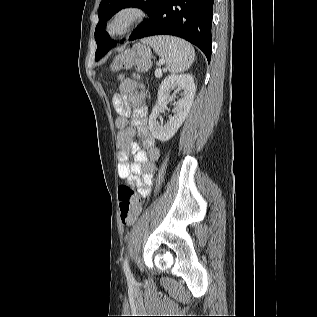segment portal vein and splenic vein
Listing matches in <instances>:
<instances>
[{"label":"portal vein and splenic vein","mask_w":317,"mask_h":317,"mask_svg":"<svg viewBox=\"0 0 317 317\" xmlns=\"http://www.w3.org/2000/svg\"><path fill=\"white\" fill-rule=\"evenodd\" d=\"M155 76H156L157 78H160V77L162 76V71H161L160 69H157V70L155 71Z\"/></svg>","instance_id":"portal-vein-and-splenic-vein-1"}]
</instances>
